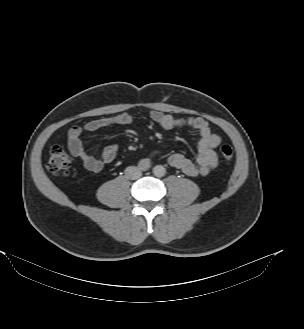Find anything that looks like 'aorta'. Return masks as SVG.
I'll list each match as a JSON object with an SVG mask.
<instances>
[{"label": "aorta", "instance_id": "aorta-1", "mask_svg": "<svg viewBox=\"0 0 304 329\" xmlns=\"http://www.w3.org/2000/svg\"><path fill=\"white\" fill-rule=\"evenodd\" d=\"M165 172H166V170H165L164 166H162V165H157L153 168V173L157 177L164 176Z\"/></svg>", "mask_w": 304, "mask_h": 329}]
</instances>
